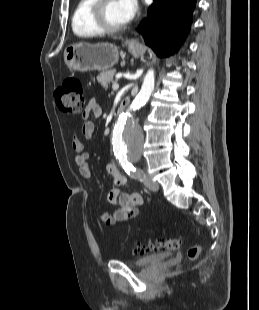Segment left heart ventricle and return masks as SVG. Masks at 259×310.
I'll return each instance as SVG.
<instances>
[{"instance_id":"b2bd125f","label":"left heart ventricle","mask_w":259,"mask_h":310,"mask_svg":"<svg viewBox=\"0 0 259 310\" xmlns=\"http://www.w3.org/2000/svg\"><path fill=\"white\" fill-rule=\"evenodd\" d=\"M104 19L110 26H121L125 24L118 0H110L106 4Z\"/></svg>"}]
</instances>
